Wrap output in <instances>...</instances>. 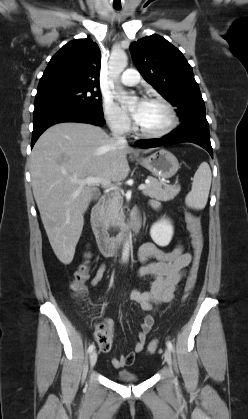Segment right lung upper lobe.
I'll return each instance as SVG.
<instances>
[{
	"mask_svg": "<svg viewBox=\"0 0 248 419\" xmlns=\"http://www.w3.org/2000/svg\"><path fill=\"white\" fill-rule=\"evenodd\" d=\"M101 52L91 39H77L64 45L50 60L38 89L60 87L94 88L99 85Z\"/></svg>",
	"mask_w": 248,
	"mask_h": 419,
	"instance_id": "right-lung-upper-lobe-1",
	"label": "right lung upper lobe"
}]
</instances>
